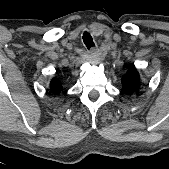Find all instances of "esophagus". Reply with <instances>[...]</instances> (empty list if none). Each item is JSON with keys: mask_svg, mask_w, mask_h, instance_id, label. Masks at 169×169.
Wrapping results in <instances>:
<instances>
[{"mask_svg": "<svg viewBox=\"0 0 169 169\" xmlns=\"http://www.w3.org/2000/svg\"><path fill=\"white\" fill-rule=\"evenodd\" d=\"M96 50V48L92 47L91 48V52H94Z\"/></svg>", "mask_w": 169, "mask_h": 169, "instance_id": "1", "label": "esophagus"}]
</instances>
